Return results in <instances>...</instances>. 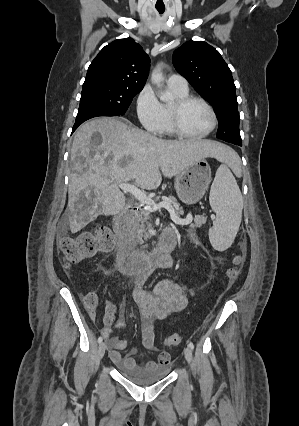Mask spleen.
<instances>
[{
    "label": "spleen",
    "instance_id": "1",
    "mask_svg": "<svg viewBox=\"0 0 299 426\" xmlns=\"http://www.w3.org/2000/svg\"><path fill=\"white\" fill-rule=\"evenodd\" d=\"M209 202L216 213L209 239L215 250L224 251L233 243L242 218L243 198L235 177L226 164L217 169Z\"/></svg>",
    "mask_w": 299,
    "mask_h": 426
}]
</instances>
